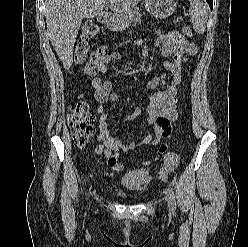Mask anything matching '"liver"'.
<instances>
[{
	"mask_svg": "<svg viewBox=\"0 0 248 247\" xmlns=\"http://www.w3.org/2000/svg\"><path fill=\"white\" fill-rule=\"evenodd\" d=\"M110 9L120 15L133 11L141 0H108ZM105 0H45V19L50 42L68 70L83 18H94L103 10Z\"/></svg>",
	"mask_w": 248,
	"mask_h": 247,
	"instance_id": "obj_1",
	"label": "liver"
}]
</instances>
